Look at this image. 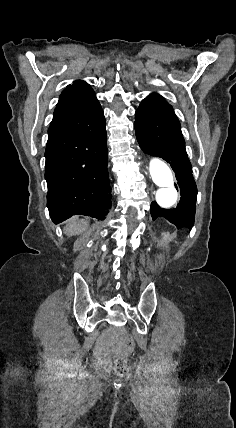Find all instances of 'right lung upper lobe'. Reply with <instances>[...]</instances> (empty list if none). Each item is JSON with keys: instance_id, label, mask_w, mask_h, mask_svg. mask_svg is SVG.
Listing matches in <instances>:
<instances>
[{"instance_id": "right-lung-upper-lobe-1", "label": "right lung upper lobe", "mask_w": 236, "mask_h": 428, "mask_svg": "<svg viewBox=\"0 0 236 428\" xmlns=\"http://www.w3.org/2000/svg\"><path fill=\"white\" fill-rule=\"evenodd\" d=\"M100 107L94 90L84 81H75L61 93L53 118L94 111Z\"/></svg>"}]
</instances>
